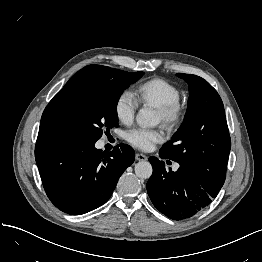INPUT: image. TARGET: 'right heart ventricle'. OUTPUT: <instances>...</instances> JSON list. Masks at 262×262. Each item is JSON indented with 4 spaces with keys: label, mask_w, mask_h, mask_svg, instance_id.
Listing matches in <instances>:
<instances>
[{
    "label": "right heart ventricle",
    "mask_w": 262,
    "mask_h": 262,
    "mask_svg": "<svg viewBox=\"0 0 262 262\" xmlns=\"http://www.w3.org/2000/svg\"><path fill=\"white\" fill-rule=\"evenodd\" d=\"M137 103L160 107L161 105L178 101L179 89L163 78H152L141 83L134 92Z\"/></svg>",
    "instance_id": "1"
}]
</instances>
